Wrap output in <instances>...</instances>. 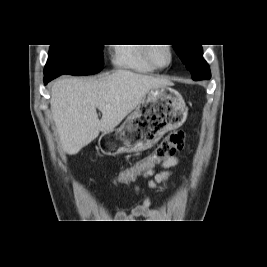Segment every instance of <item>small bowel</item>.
<instances>
[{
	"label": "small bowel",
	"instance_id": "c3829d8e",
	"mask_svg": "<svg viewBox=\"0 0 267 267\" xmlns=\"http://www.w3.org/2000/svg\"><path fill=\"white\" fill-rule=\"evenodd\" d=\"M179 162V159L175 156L169 157L162 161L161 170L156 171L151 168L146 171L139 173L144 178H150L148 181V187L150 189L155 188L158 184L165 182L172 175V168L175 167ZM128 169V168H127ZM134 179V178H133ZM129 183V182H127ZM158 212L151 207V201L149 198L143 200L142 204L135 207L131 212L119 211L116 215L118 220H128L137 217H146V218H158Z\"/></svg>",
	"mask_w": 267,
	"mask_h": 267
}]
</instances>
